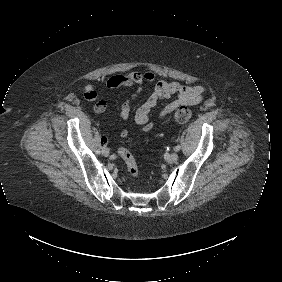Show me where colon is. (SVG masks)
Listing matches in <instances>:
<instances>
[{"mask_svg": "<svg viewBox=\"0 0 282 282\" xmlns=\"http://www.w3.org/2000/svg\"><path fill=\"white\" fill-rule=\"evenodd\" d=\"M190 117L191 111L187 107H179L174 113V118L177 121L185 122ZM118 154L124 160L129 175L132 177H138L139 166L132 152L128 148H120L118 150Z\"/></svg>", "mask_w": 282, "mask_h": 282, "instance_id": "colon-1", "label": "colon"}]
</instances>
